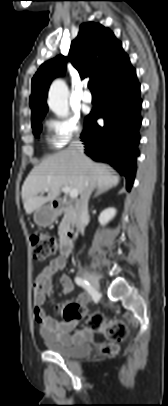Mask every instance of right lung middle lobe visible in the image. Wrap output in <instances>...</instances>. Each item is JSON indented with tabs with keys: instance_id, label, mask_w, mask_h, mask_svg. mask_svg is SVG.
Masks as SVG:
<instances>
[{
	"instance_id": "1",
	"label": "right lung middle lobe",
	"mask_w": 168,
	"mask_h": 406,
	"mask_svg": "<svg viewBox=\"0 0 168 406\" xmlns=\"http://www.w3.org/2000/svg\"><path fill=\"white\" fill-rule=\"evenodd\" d=\"M40 121H41V120H40ZM40 121H38V122L32 124V128L34 129V130H33V133H34V135H36V136H38V135L40 134L41 129H42V125L40 124Z\"/></svg>"
}]
</instances>
